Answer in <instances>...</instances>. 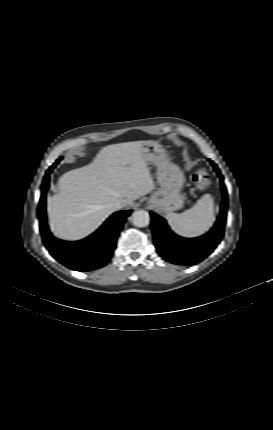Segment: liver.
Returning <instances> with one entry per match:
<instances>
[{"label": "liver", "instance_id": "6515ba94", "mask_svg": "<svg viewBox=\"0 0 273 430\" xmlns=\"http://www.w3.org/2000/svg\"><path fill=\"white\" fill-rule=\"evenodd\" d=\"M146 141L105 146L89 165L65 173L58 193L48 198L49 226L57 238L77 241L93 233L116 210L114 204L133 201L155 185L142 155Z\"/></svg>", "mask_w": 273, "mask_h": 430}]
</instances>
